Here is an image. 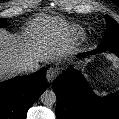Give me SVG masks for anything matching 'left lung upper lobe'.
<instances>
[{"instance_id": "obj_1", "label": "left lung upper lobe", "mask_w": 119, "mask_h": 119, "mask_svg": "<svg viewBox=\"0 0 119 119\" xmlns=\"http://www.w3.org/2000/svg\"><path fill=\"white\" fill-rule=\"evenodd\" d=\"M107 30L100 44L101 47L114 49L119 47V25L111 17L106 15Z\"/></svg>"}]
</instances>
